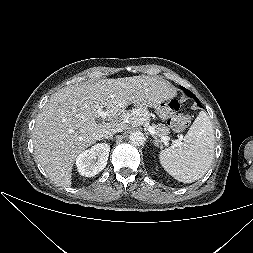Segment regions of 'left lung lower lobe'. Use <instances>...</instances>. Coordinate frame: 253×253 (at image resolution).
I'll list each match as a JSON object with an SVG mask.
<instances>
[{
    "label": "left lung lower lobe",
    "instance_id": "0a47b994",
    "mask_svg": "<svg viewBox=\"0 0 253 253\" xmlns=\"http://www.w3.org/2000/svg\"><path fill=\"white\" fill-rule=\"evenodd\" d=\"M183 90L185 91L184 88H183ZM185 93H186V92H185ZM187 95L190 96V97H192V98H194V99L196 100L198 106L202 107V105L200 104L199 100L196 98V96H195L192 92H190V91L188 90V94H187Z\"/></svg>",
    "mask_w": 253,
    "mask_h": 253
}]
</instances>
